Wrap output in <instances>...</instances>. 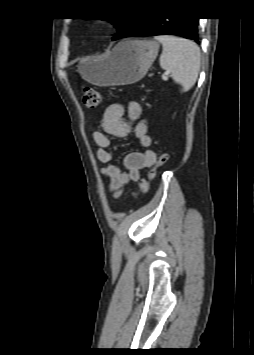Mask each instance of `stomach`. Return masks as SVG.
<instances>
[{"instance_id": "0dacf381", "label": "stomach", "mask_w": 254, "mask_h": 355, "mask_svg": "<svg viewBox=\"0 0 254 355\" xmlns=\"http://www.w3.org/2000/svg\"><path fill=\"white\" fill-rule=\"evenodd\" d=\"M153 40L125 39L103 59L83 58L77 68L82 78L94 85H128L141 80L158 54Z\"/></svg>"}]
</instances>
